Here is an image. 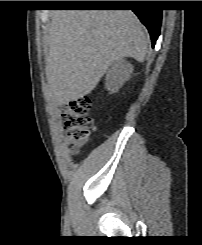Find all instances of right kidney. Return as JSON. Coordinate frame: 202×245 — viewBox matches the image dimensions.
Listing matches in <instances>:
<instances>
[{"mask_svg":"<svg viewBox=\"0 0 202 245\" xmlns=\"http://www.w3.org/2000/svg\"><path fill=\"white\" fill-rule=\"evenodd\" d=\"M133 72V66L125 61L118 60L113 63L106 75L105 86L111 93L117 92L120 87L130 78Z\"/></svg>","mask_w":202,"mask_h":245,"instance_id":"ca27d5eb","label":"right kidney"}]
</instances>
